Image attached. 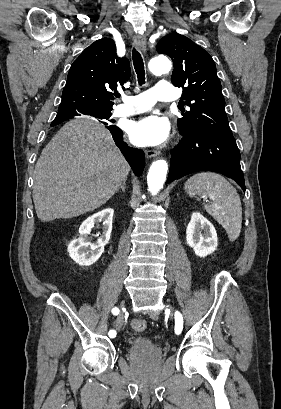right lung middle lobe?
Listing matches in <instances>:
<instances>
[{"label":"right lung middle lobe","instance_id":"1","mask_svg":"<svg viewBox=\"0 0 281 409\" xmlns=\"http://www.w3.org/2000/svg\"><path fill=\"white\" fill-rule=\"evenodd\" d=\"M111 116V112L110 111H105V112H97V116L96 118L99 119H109V117ZM65 121V119H55L52 123L51 126H55L61 122Z\"/></svg>","mask_w":281,"mask_h":409}]
</instances>
